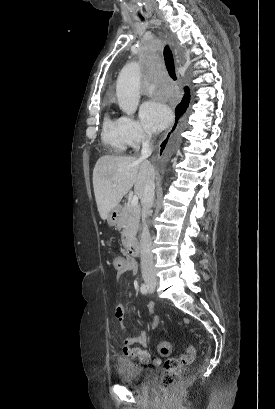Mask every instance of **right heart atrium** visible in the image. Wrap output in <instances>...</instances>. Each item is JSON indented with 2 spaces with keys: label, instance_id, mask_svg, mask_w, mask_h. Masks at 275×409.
Instances as JSON below:
<instances>
[{
  "label": "right heart atrium",
  "instance_id": "1",
  "mask_svg": "<svg viewBox=\"0 0 275 409\" xmlns=\"http://www.w3.org/2000/svg\"><path fill=\"white\" fill-rule=\"evenodd\" d=\"M120 121L123 126L127 144L133 149H137L150 138V130L142 121L129 116L121 118Z\"/></svg>",
  "mask_w": 275,
  "mask_h": 409
}]
</instances>
